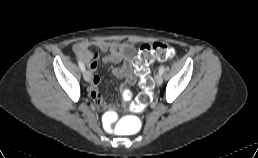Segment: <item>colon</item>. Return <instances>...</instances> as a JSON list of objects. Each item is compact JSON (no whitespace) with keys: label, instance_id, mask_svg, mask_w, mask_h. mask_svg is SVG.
Masks as SVG:
<instances>
[{"label":"colon","instance_id":"colon-1","mask_svg":"<svg viewBox=\"0 0 258 158\" xmlns=\"http://www.w3.org/2000/svg\"><path fill=\"white\" fill-rule=\"evenodd\" d=\"M174 56V48L164 42H154L152 44H143L140 46L138 55L135 57L133 63L140 79L141 91L137 101L129 106L130 111L134 113L141 112L151 102L153 82L150 77L149 65L155 59L166 61L172 59ZM124 96L127 98L128 92Z\"/></svg>","mask_w":258,"mask_h":158}]
</instances>
